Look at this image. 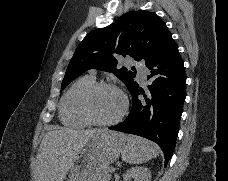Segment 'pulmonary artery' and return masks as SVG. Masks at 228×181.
I'll return each instance as SVG.
<instances>
[{
    "label": "pulmonary artery",
    "mask_w": 228,
    "mask_h": 181,
    "mask_svg": "<svg viewBox=\"0 0 228 181\" xmlns=\"http://www.w3.org/2000/svg\"><path fill=\"white\" fill-rule=\"evenodd\" d=\"M137 71H146V66H137Z\"/></svg>",
    "instance_id": "1"
}]
</instances>
